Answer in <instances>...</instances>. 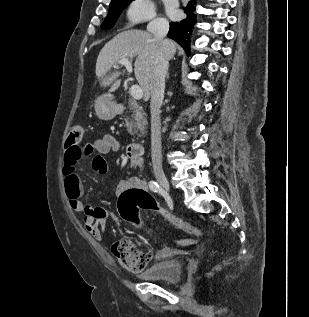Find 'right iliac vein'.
<instances>
[{"label": "right iliac vein", "mask_w": 309, "mask_h": 317, "mask_svg": "<svg viewBox=\"0 0 309 317\" xmlns=\"http://www.w3.org/2000/svg\"><path fill=\"white\" fill-rule=\"evenodd\" d=\"M155 177L165 192L169 193L170 187L164 172L159 170L155 171Z\"/></svg>", "instance_id": "right-iliac-vein-1"}]
</instances>
